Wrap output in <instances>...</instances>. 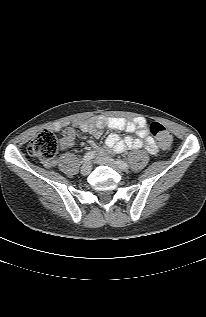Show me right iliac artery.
<instances>
[{
	"mask_svg": "<svg viewBox=\"0 0 206 317\" xmlns=\"http://www.w3.org/2000/svg\"><path fill=\"white\" fill-rule=\"evenodd\" d=\"M94 157H95V152L89 151V152H87V153L84 155L83 161H84V162L91 161Z\"/></svg>",
	"mask_w": 206,
	"mask_h": 317,
	"instance_id": "right-iliac-artery-1",
	"label": "right iliac artery"
}]
</instances>
